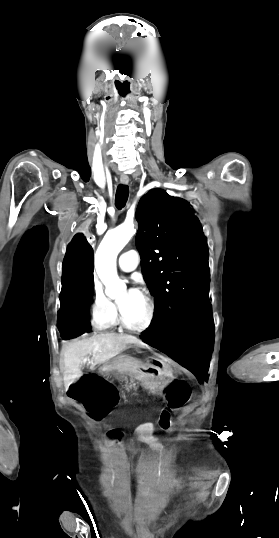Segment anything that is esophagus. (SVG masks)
Segmentation results:
<instances>
[{
    "label": "esophagus",
    "mask_w": 279,
    "mask_h": 538,
    "mask_svg": "<svg viewBox=\"0 0 279 538\" xmlns=\"http://www.w3.org/2000/svg\"><path fill=\"white\" fill-rule=\"evenodd\" d=\"M120 181H121V183H123V185H127L128 182H129V178L127 176L120 177Z\"/></svg>",
    "instance_id": "esophagus-1"
}]
</instances>
